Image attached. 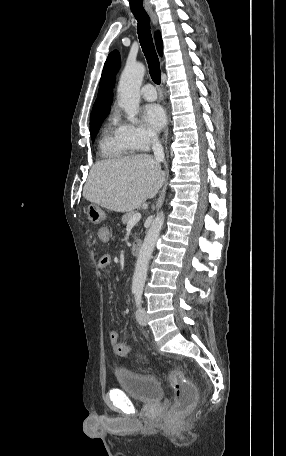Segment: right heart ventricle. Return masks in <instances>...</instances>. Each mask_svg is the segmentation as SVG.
I'll use <instances>...</instances> for the list:
<instances>
[{
  "label": "right heart ventricle",
  "mask_w": 286,
  "mask_h": 456,
  "mask_svg": "<svg viewBox=\"0 0 286 456\" xmlns=\"http://www.w3.org/2000/svg\"><path fill=\"white\" fill-rule=\"evenodd\" d=\"M99 146L101 155L109 159H121L134 151L123 135L121 127L114 122L103 130Z\"/></svg>",
  "instance_id": "obj_1"
}]
</instances>
